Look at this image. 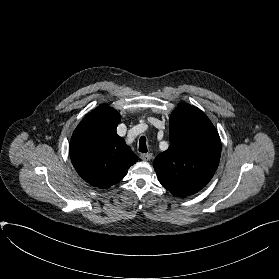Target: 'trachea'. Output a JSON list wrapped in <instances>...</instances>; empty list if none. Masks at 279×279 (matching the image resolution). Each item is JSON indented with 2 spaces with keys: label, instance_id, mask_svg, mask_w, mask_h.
<instances>
[{
  "label": "trachea",
  "instance_id": "1",
  "mask_svg": "<svg viewBox=\"0 0 279 279\" xmlns=\"http://www.w3.org/2000/svg\"><path fill=\"white\" fill-rule=\"evenodd\" d=\"M139 152L146 153L147 152V145H146V138L145 136H141L139 140Z\"/></svg>",
  "mask_w": 279,
  "mask_h": 279
}]
</instances>
